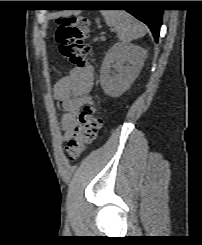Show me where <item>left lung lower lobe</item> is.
<instances>
[{
  "label": "left lung lower lobe",
  "mask_w": 202,
  "mask_h": 245,
  "mask_svg": "<svg viewBox=\"0 0 202 245\" xmlns=\"http://www.w3.org/2000/svg\"><path fill=\"white\" fill-rule=\"evenodd\" d=\"M106 6L116 5V1H103ZM131 5L137 6H151L154 2L153 1H127ZM128 5V4H122ZM127 12L132 14L138 20L144 22L150 28L154 39L158 42V37L160 33V27L162 25V15L163 10L156 9V8H129L126 9Z\"/></svg>",
  "instance_id": "0a47b994"
}]
</instances>
